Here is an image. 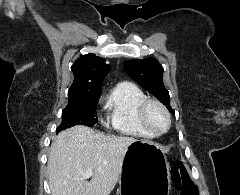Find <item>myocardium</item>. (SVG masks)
I'll return each instance as SVG.
<instances>
[{"instance_id":"obj_1","label":"myocardium","mask_w":240,"mask_h":195,"mask_svg":"<svg viewBox=\"0 0 240 195\" xmlns=\"http://www.w3.org/2000/svg\"><path fill=\"white\" fill-rule=\"evenodd\" d=\"M151 107H157L164 114V116L166 118V127L161 131L156 130L149 121L148 113H149V109ZM138 111H139V120H140L141 124L143 125V127L146 130L150 131L155 136L163 135L169 130L170 125H171L170 113L167 110V108L160 101H158L156 99L146 98L139 105Z\"/></svg>"}]
</instances>
